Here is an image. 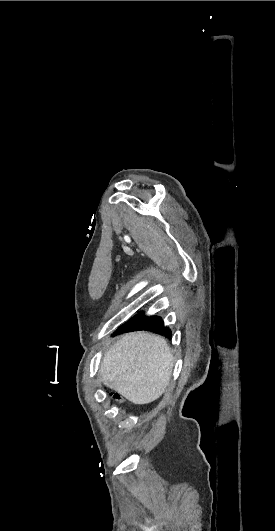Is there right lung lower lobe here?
<instances>
[{"label": "right lung lower lobe", "instance_id": "right-lung-lower-lobe-1", "mask_svg": "<svg viewBox=\"0 0 275 531\" xmlns=\"http://www.w3.org/2000/svg\"><path fill=\"white\" fill-rule=\"evenodd\" d=\"M150 330L158 334L165 335L171 338V331L163 324V320L158 316L146 317L143 314H138L130 319L127 323L122 325L117 333L126 331Z\"/></svg>", "mask_w": 275, "mask_h": 531}]
</instances>
